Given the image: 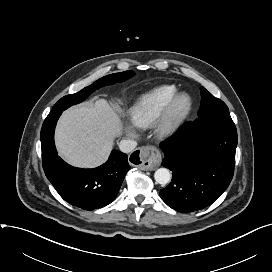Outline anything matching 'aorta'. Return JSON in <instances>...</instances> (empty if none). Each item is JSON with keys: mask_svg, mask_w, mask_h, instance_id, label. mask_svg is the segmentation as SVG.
Instances as JSON below:
<instances>
[{"mask_svg": "<svg viewBox=\"0 0 272 272\" xmlns=\"http://www.w3.org/2000/svg\"><path fill=\"white\" fill-rule=\"evenodd\" d=\"M154 178L158 184L165 185L171 180V174L168 169L159 168L156 170Z\"/></svg>", "mask_w": 272, "mask_h": 272, "instance_id": "obj_1", "label": "aorta"}]
</instances>
